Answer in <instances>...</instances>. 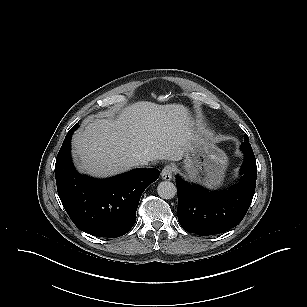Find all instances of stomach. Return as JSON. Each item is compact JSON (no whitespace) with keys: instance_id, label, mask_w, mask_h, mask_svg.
Instances as JSON below:
<instances>
[{"instance_id":"stomach-1","label":"stomach","mask_w":307,"mask_h":307,"mask_svg":"<svg viewBox=\"0 0 307 307\" xmlns=\"http://www.w3.org/2000/svg\"><path fill=\"white\" fill-rule=\"evenodd\" d=\"M227 165L226 154L210 142L206 133L195 136L185 153L184 170L188 178L211 189L222 184Z\"/></svg>"}]
</instances>
